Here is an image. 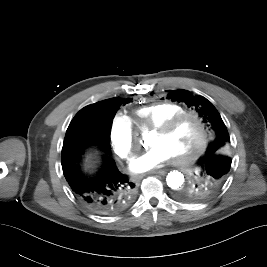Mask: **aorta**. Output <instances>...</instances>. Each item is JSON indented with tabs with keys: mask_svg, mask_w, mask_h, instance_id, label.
Returning a JSON list of instances; mask_svg holds the SVG:
<instances>
[{
	"mask_svg": "<svg viewBox=\"0 0 267 267\" xmlns=\"http://www.w3.org/2000/svg\"><path fill=\"white\" fill-rule=\"evenodd\" d=\"M146 133L144 134V137H146ZM166 182H167V185L173 189V190H178L180 189L184 182H185V178H184V175L177 171V170H174V171H171L170 173H168L167 177H166Z\"/></svg>",
	"mask_w": 267,
	"mask_h": 267,
	"instance_id": "762f6f07",
	"label": "aorta"
}]
</instances>
